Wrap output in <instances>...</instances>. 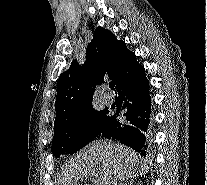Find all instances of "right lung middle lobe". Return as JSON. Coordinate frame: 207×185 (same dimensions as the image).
Instances as JSON below:
<instances>
[{
    "mask_svg": "<svg viewBox=\"0 0 207 185\" xmlns=\"http://www.w3.org/2000/svg\"><path fill=\"white\" fill-rule=\"evenodd\" d=\"M111 119V111L108 108L101 111L92 110L54 128L52 153L59 157L62 154L77 152L98 136Z\"/></svg>",
    "mask_w": 207,
    "mask_h": 185,
    "instance_id": "1",
    "label": "right lung middle lobe"
}]
</instances>
